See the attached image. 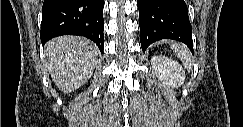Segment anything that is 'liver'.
Masks as SVG:
<instances>
[{
	"instance_id": "obj_1",
	"label": "liver",
	"mask_w": 243,
	"mask_h": 127,
	"mask_svg": "<svg viewBox=\"0 0 243 127\" xmlns=\"http://www.w3.org/2000/svg\"><path fill=\"white\" fill-rule=\"evenodd\" d=\"M99 54L93 42L80 36L54 38L44 50L46 67L64 93L77 90L91 78Z\"/></svg>"
}]
</instances>
